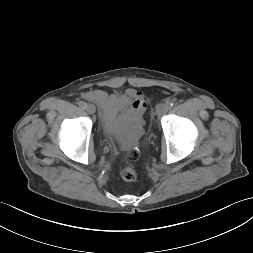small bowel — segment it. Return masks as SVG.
Segmentation results:
<instances>
[{
    "label": "small bowel",
    "mask_w": 253,
    "mask_h": 253,
    "mask_svg": "<svg viewBox=\"0 0 253 253\" xmlns=\"http://www.w3.org/2000/svg\"><path fill=\"white\" fill-rule=\"evenodd\" d=\"M83 97L100 108L106 130L119 139H121L122 126L137 128L142 122L147 106L143 93L132 88L124 94H110L97 89L84 93Z\"/></svg>",
    "instance_id": "obj_1"
}]
</instances>
